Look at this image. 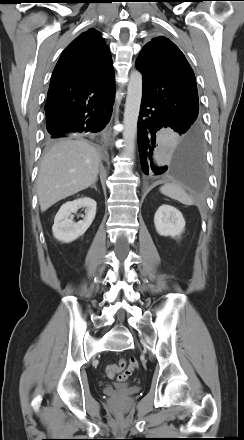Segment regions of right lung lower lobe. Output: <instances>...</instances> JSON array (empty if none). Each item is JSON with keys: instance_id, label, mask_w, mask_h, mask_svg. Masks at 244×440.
Wrapping results in <instances>:
<instances>
[{"instance_id": "right-lung-lower-lobe-1", "label": "right lung lower lobe", "mask_w": 244, "mask_h": 440, "mask_svg": "<svg viewBox=\"0 0 244 440\" xmlns=\"http://www.w3.org/2000/svg\"><path fill=\"white\" fill-rule=\"evenodd\" d=\"M115 95L105 105L91 113H78L68 117L46 118V126L51 138L66 137L71 133H95L109 122Z\"/></svg>"}]
</instances>
